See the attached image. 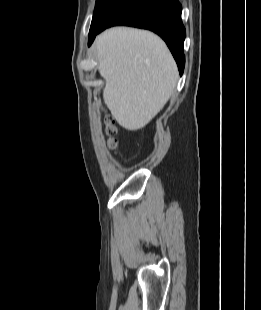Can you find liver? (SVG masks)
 Masks as SVG:
<instances>
[{
  "mask_svg": "<svg viewBox=\"0 0 261 310\" xmlns=\"http://www.w3.org/2000/svg\"><path fill=\"white\" fill-rule=\"evenodd\" d=\"M95 48L112 116L127 130L145 127L167 103L178 80L166 44L150 31L113 27L97 37Z\"/></svg>",
  "mask_w": 261,
  "mask_h": 310,
  "instance_id": "liver-1",
  "label": "liver"
}]
</instances>
